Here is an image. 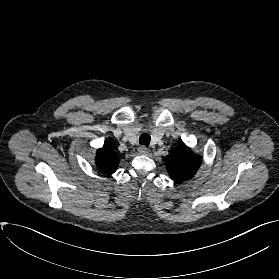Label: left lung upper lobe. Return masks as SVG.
Masks as SVG:
<instances>
[{"label":"left lung upper lobe","mask_w":279,"mask_h":279,"mask_svg":"<svg viewBox=\"0 0 279 279\" xmlns=\"http://www.w3.org/2000/svg\"><path fill=\"white\" fill-rule=\"evenodd\" d=\"M200 164L201 160L199 156L195 155L186 146L177 147L167 156L165 161L170 177L177 182L192 178Z\"/></svg>","instance_id":"left-lung-upper-lobe-1"}]
</instances>
